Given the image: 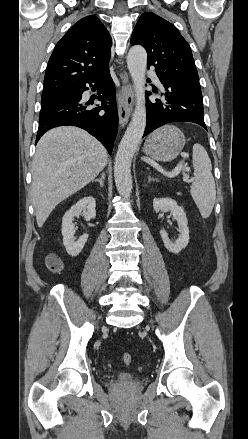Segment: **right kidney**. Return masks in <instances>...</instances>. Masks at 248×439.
<instances>
[{
	"label": "right kidney",
	"mask_w": 248,
	"mask_h": 439,
	"mask_svg": "<svg viewBox=\"0 0 248 439\" xmlns=\"http://www.w3.org/2000/svg\"><path fill=\"white\" fill-rule=\"evenodd\" d=\"M96 202L92 196L84 197L80 199L75 205H73L63 216L62 219V235L63 245L66 251L72 257L77 256L83 249L88 234H83L77 241L74 238V224L73 219L76 216L83 215L86 221H89L96 217Z\"/></svg>",
	"instance_id": "1"
}]
</instances>
